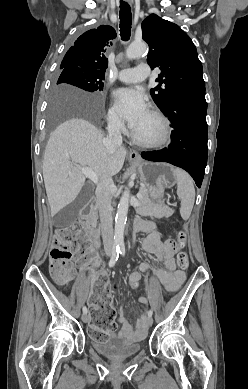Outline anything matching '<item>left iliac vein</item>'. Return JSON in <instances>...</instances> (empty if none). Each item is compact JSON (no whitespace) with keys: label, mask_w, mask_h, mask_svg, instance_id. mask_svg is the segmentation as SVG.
Listing matches in <instances>:
<instances>
[{"label":"left iliac vein","mask_w":248,"mask_h":389,"mask_svg":"<svg viewBox=\"0 0 248 389\" xmlns=\"http://www.w3.org/2000/svg\"><path fill=\"white\" fill-rule=\"evenodd\" d=\"M147 324H148L149 326H151V325L153 324V319H152V317H148V318H147Z\"/></svg>","instance_id":"left-iliac-vein-1"}]
</instances>
